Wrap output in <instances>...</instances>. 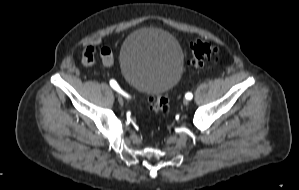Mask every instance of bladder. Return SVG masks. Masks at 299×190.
I'll return each mask as SVG.
<instances>
[{
	"label": "bladder",
	"mask_w": 299,
	"mask_h": 190,
	"mask_svg": "<svg viewBox=\"0 0 299 190\" xmlns=\"http://www.w3.org/2000/svg\"><path fill=\"white\" fill-rule=\"evenodd\" d=\"M119 66L129 85L149 95H163L181 78L183 52L177 39L167 31L142 28L123 43Z\"/></svg>",
	"instance_id": "31cf9c89"
}]
</instances>
